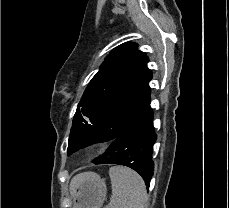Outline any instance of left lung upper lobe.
<instances>
[{"label":"left lung upper lobe","instance_id":"obj_1","mask_svg":"<svg viewBox=\"0 0 229 208\" xmlns=\"http://www.w3.org/2000/svg\"><path fill=\"white\" fill-rule=\"evenodd\" d=\"M148 61L136 43H123L110 52L78 104L68 153L98 132L122 130L152 110Z\"/></svg>","mask_w":229,"mask_h":208}]
</instances>
